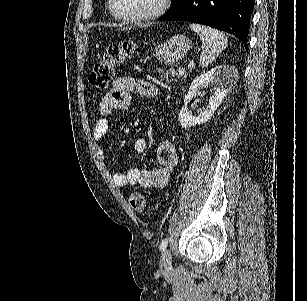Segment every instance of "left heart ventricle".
Wrapping results in <instances>:
<instances>
[{
	"instance_id": "b2bd125f",
	"label": "left heart ventricle",
	"mask_w": 307,
	"mask_h": 301,
	"mask_svg": "<svg viewBox=\"0 0 307 301\" xmlns=\"http://www.w3.org/2000/svg\"><path fill=\"white\" fill-rule=\"evenodd\" d=\"M161 0H116L118 6L115 13L132 11V13H142L143 11H156Z\"/></svg>"
}]
</instances>
